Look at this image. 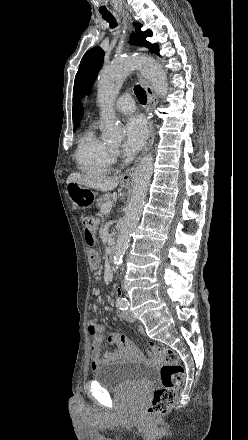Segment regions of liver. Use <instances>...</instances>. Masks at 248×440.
<instances>
[{"instance_id":"liver-1","label":"liver","mask_w":248,"mask_h":440,"mask_svg":"<svg viewBox=\"0 0 248 440\" xmlns=\"http://www.w3.org/2000/svg\"><path fill=\"white\" fill-rule=\"evenodd\" d=\"M66 183H78L91 189L106 192L116 188L119 184V179L118 177H105L72 173L68 176Z\"/></svg>"}]
</instances>
